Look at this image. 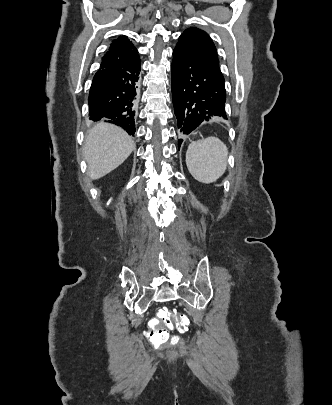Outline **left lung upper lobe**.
I'll list each match as a JSON object with an SVG mask.
<instances>
[{"instance_id":"1","label":"left lung upper lobe","mask_w":332,"mask_h":405,"mask_svg":"<svg viewBox=\"0 0 332 405\" xmlns=\"http://www.w3.org/2000/svg\"><path fill=\"white\" fill-rule=\"evenodd\" d=\"M176 46L183 47L185 50L212 66L222 75L219 68L216 47L205 31L195 27L186 29L180 35Z\"/></svg>"}]
</instances>
